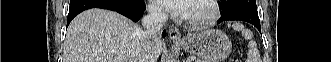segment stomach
<instances>
[{
  "mask_svg": "<svg viewBox=\"0 0 331 62\" xmlns=\"http://www.w3.org/2000/svg\"><path fill=\"white\" fill-rule=\"evenodd\" d=\"M179 44L186 52L198 55L202 62H223L232 49L228 36L214 29L191 34Z\"/></svg>",
  "mask_w": 331,
  "mask_h": 62,
  "instance_id": "obj_1",
  "label": "stomach"
}]
</instances>
